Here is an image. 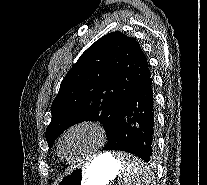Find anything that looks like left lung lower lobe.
I'll use <instances>...</instances> for the list:
<instances>
[{
    "instance_id": "left-lung-lower-lobe-1",
    "label": "left lung lower lobe",
    "mask_w": 207,
    "mask_h": 185,
    "mask_svg": "<svg viewBox=\"0 0 207 185\" xmlns=\"http://www.w3.org/2000/svg\"><path fill=\"white\" fill-rule=\"evenodd\" d=\"M102 150L125 151L149 162L155 151V106L151 76L120 107Z\"/></svg>"
}]
</instances>
